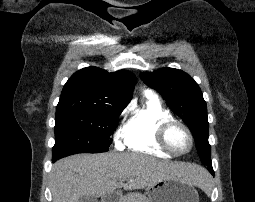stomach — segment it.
Wrapping results in <instances>:
<instances>
[{"instance_id":"stomach-1","label":"stomach","mask_w":255,"mask_h":202,"mask_svg":"<svg viewBox=\"0 0 255 202\" xmlns=\"http://www.w3.org/2000/svg\"><path fill=\"white\" fill-rule=\"evenodd\" d=\"M149 202H199V196L190 183L169 178L149 186L146 190ZM118 202H123V197Z\"/></svg>"}]
</instances>
